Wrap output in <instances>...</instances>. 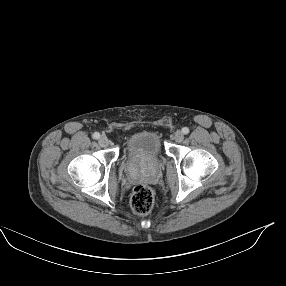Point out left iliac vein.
I'll return each instance as SVG.
<instances>
[{
    "label": "left iliac vein",
    "mask_w": 286,
    "mask_h": 286,
    "mask_svg": "<svg viewBox=\"0 0 286 286\" xmlns=\"http://www.w3.org/2000/svg\"><path fill=\"white\" fill-rule=\"evenodd\" d=\"M173 139H174L176 142H178V143L182 142L183 139H184V134H183V132L180 131V130H177V131L174 133Z\"/></svg>",
    "instance_id": "1"
}]
</instances>
